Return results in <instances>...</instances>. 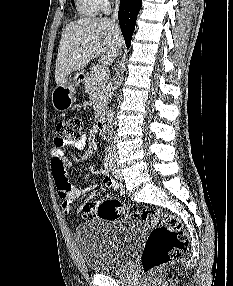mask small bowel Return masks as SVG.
Wrapping results in <instances>:
<instances>
[{
    "mask_svg": "<svg viewBox=\"0 0 233 286\" xmlns=\"http://www.w3.org/2000/svg\"><path fill=\"white\" fill-rule=\"evenodd\" d=\"M73 145L77 149H84L87 146V137L81 136V138L76 142H65L60 141L57 138L54 140L53 145L50 149V168L53 180L55 182L59 197L61 198V209L64 214L69 215L71 213V207L73 202L87 193L88 191L96 188V186H91L82 189H76L71 186L67 176V167L69 162L64 158V147L66 145ZM103 184L111 189L117 187V183L106 176L103 179ZM105 196L104 199H107ZM96 208V203H86L83 206L82 213L78 217H74L76 220H85L94 217V211Z\"/></svg>",
    "mask_w": 233,
    "mask_h": 286,
    "instance_id": "1",
    "label": "small bowel"
}]
</instances>
